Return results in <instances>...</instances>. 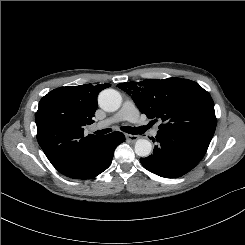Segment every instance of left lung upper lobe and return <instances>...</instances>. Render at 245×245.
<instances>
[{
    "label": "left lung upper lobe",
    "instance_id": "5c2ea615",
    "mask_svg": "<svg viewBox=\"0 0 245 245\" xmlns=\"http://www.w3.org/2000/svg\"><path fill=\"white\" fill-rule=\"evenodd\" d=\"M148 118L161 120L159 130L184 131L212 139L216 128L214 102L199 84L188 79H147L117 85Z\"/></svg>",
    "mask_w": 245,
    "mask_h": 245
}]
</instances>
